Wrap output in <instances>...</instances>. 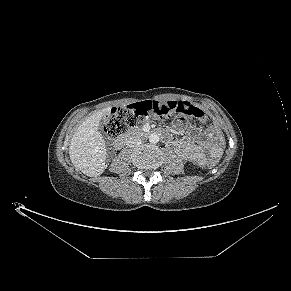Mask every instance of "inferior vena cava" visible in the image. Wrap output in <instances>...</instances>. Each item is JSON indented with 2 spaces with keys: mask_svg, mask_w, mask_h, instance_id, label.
Instances as JSON below:
<instances>
[{
  "mask_svg": "<svg viewBox=\"0 0 291 291\" xmlns=\"http://www.w3.org/2000/svg\"><path fill=\"white\" fill-rule=\"evenodd\" d=\"M141 144V138L137 136H131L126 140V145L129 148L136 147Z\"/></svg>",
  "mask_w": 291,
  "mask_h": 291,
  "instance_id": "1",
  "label": "inferior vena cava"
}]
</instances>
